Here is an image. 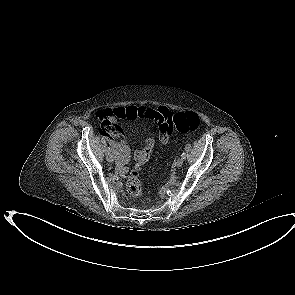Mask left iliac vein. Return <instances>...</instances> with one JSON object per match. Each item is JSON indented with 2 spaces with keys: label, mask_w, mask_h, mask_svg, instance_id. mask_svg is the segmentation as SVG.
I'll list each match as a JSON object with an SVG mask.
<instances>
[{
  "label": "left iliac vein",
  "mask_w": 295,
  "mask_h": 295,
  "mask_svg": "<svg viewBox=\"0 0 295 295\" xmlns=\"http://www.w3.org/2000/svg\"><path fill=\"white\" fill-rule=\"evenodd\" d=\"M175 164H176V167H178V168L181 167L182 164H183V159L182 158H178Z\"/></svg>",
  "instance_id": "left-iliac-vein-1"
}]
</instances>
